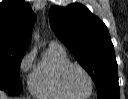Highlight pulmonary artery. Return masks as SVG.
Masks as SVG:
<instances>
[{
    "mask_svg": "<svg viewBox=\"0 0 128 99\" xmlns=\"http://www.w3.org/2000/svg\"><path fill=\"white\" fill-rule=\"evenodd\" d=\"M50 47H55V48H59V49L63 50V46L60 43H58L57 41H52L50 43Z\"/></svg>",
    "mask_w": 128,
    "mask_h": 99,
    "instance_id": "obj_1",
    "label": "pulmonary artery"
}]
</instances>
